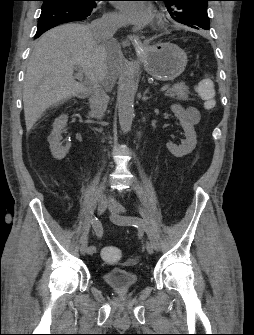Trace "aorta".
<instances>
[{
	"label": "aorta",
	"mask_w": 254,
	"mask_h": 335,
	"mask_svg": "<svg viewBox=\"0 0 254 335\" xmlns=\"http://www.w3.org/2000/svg\"><path fill=\"white\" fill-rule=\"evenodd\" d=\"M135 93V72L130 69L121 82L117 95L119 124L123 133H128L132 126Z\"/></svg>",
	"instance_id": "1"
}]
</instances>
